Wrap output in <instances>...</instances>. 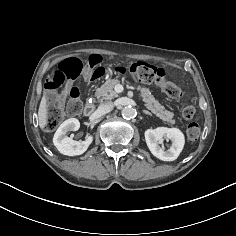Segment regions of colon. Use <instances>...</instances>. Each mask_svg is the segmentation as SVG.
I'll return each instance as SVG.
<instances>
[{
    "mask_svg": "<svg viewBox=\"0 0 236 236\" xmlns=\"http://www.w3.org/2000/svg\"><path fill=\"white\" fill-rule=\"evenodd\" d=\"M115 71L119 74H129L136 81L154 84L172 99H180L183 96L182 90L169 81L164 69L148 62L136 61L128 66H118ZM81 74L87 80L94 81L104 76L105 69L100 66V60L96 56H91L85 61L72 57L64 60L48 80L46 88L51 94L44 126L46 130L57 128L66 113L70 116L81 113L82 103L79 100L78 88L71 87L67 90L68 101L66 104H64L62 97L56 93L66 82L74 81ZM194 114L195 109L191 105L183 106L181 109V115L185 119H191ZM186 133L189 139L196 140L200 135V126L197 123H190Z\"/></svg>",
    "mask_w": 236,
    "mask_h": 236,
    "instance_id": "1",
    "label": "colon"
}]
</instances>
